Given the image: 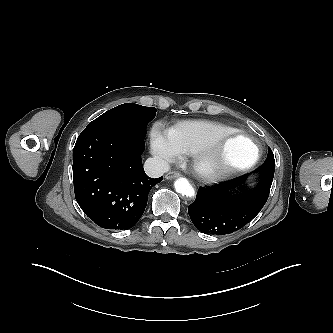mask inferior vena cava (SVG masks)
Masks as SVG:
<instances>
[{
	"label": "inferior vena cava",
	"instance_id": "obj_1",
	"mask_svg": "<svg viewBox=\"0 0 333 333\" xmlns=\"http://www.w3.org/2000/svg\"><path fill=\"white\" fill-rule=\"evenodd\" d=\"M169 163L159 157L148 158L144 163L145 173L152 178H158L169 171Z\"/></svg>",
	"mask_w": 333,
	"mask_h": 333
}]
</instances>
